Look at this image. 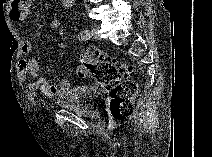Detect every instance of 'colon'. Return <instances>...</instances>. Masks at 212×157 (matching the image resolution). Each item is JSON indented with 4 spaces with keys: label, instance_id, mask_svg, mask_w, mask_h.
<instances>
[{
    "label": "colon",
    "instance_id": "5ec220e1",
    "mask_svg": "<svg viewBox=\"0 0 212 157\" xmlns=\"http://www.w3.org/2000/svg\"><path fill=\"white\" fill-rule=\"evenodd\" d=\"M132 69L99 48L84 50L80 56L79 78L92 77L110 94V113L115 120H124L133 112L137 84L127 77Z\"/></svg>",
    "mask_w": 212,
    "mask_h": 157
}]
</instances>
